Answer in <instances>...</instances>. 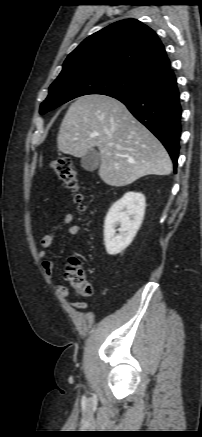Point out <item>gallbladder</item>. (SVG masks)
<instances>
[{"label": "gallbladder", "instance_id": "obj_1", "mask_svg": "<svg viewBox=\"0 0 202 437\" xmlns=\"http://www.w3.org/2000/svg\"><path fill=\"white\" fill-rule=\"evenodd\" d=\"M99 163V154L94 149L89 150L81 158V165L86 171H95L98 168Z\"/></svg>", "mask_w": 202, "mask_h": 437}]
</instances>
